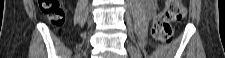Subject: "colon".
Instances as JSON below:
<instances>
[{"label": "colon", "mask_w": 225, "mask_h": 58, "mask_svg": "<svg viewBox=\"0 0 225 58\" xmlns=\"http://www.w3.org/2000/svg\"><path fill=\"white\" fill-rule=\"evenodd\" d=\"M40 12L55 27L60 28L65 21V13L57 0L39 1ZM186 15V8L181 0H168L164 10L153 22L152 32L155 40L162 44H170L174 37V24Z\"/></svg>", "instance_id": "colon-1"}]
</instances>
